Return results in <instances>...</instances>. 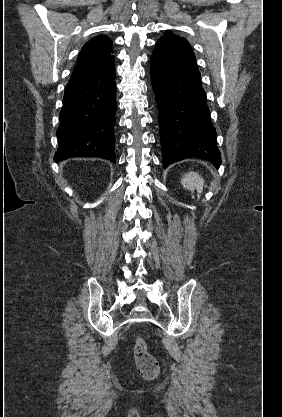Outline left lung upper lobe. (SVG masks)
Wrapping results in <instances>:
<instances>
[{
  "mask_svg": "<svg viewBox=\"0 0 282 417\" xmlns=\"http://www.w3.org/2000/svg\"><path fill=\"white\" fill-rule=\"evenodd\" d=\"M158 41H176L184 44H188L184 38L173 35L171 32H167L166 35L162 36Z\"/></svg>",
  "mask_w": 282,
  "mask_h": 417,
  "instance_id": "5c2ea615",
  "label": "left lung upper lobe"
}]
</instances>
